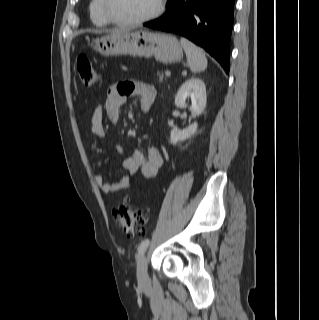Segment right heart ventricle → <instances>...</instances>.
I'll return each instance as SVG.
<instances>
[{"instance_id":"1","label":"right heart ventricle","mask_w":319,"mask_h":320,"mask_svg":"<svg viewBox=\"0 0 319 320\" xmlns=\"http://www.w3.org/2000/svg\"><path fill=\"white\" fill-rule=\"evenodd\" d=\"M90 17L97 26H107L110 22L105 18L102 11V0H91L89 5Z\"/></svg>"}]
</instances>
